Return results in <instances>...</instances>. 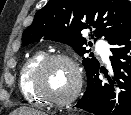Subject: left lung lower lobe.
Instances as JSON below:
<instances>
[{
	"mask_svg": "<svg viewBox=\"0 0 131 115\" xmlns=\"http://www.w3.org/2000/svg\"><path fill=\"white\" fill-rule=\"evenodd\" d=\"M113 75L99 79V68L87 79V89L76 104L95 115H131V24L110 42Z\"/></svg>",
	"mask_w": 131,
	"mask_h": 115,
	"instance_id": "1",
	"label": "left lung lower lobe"
}]
</instances>
